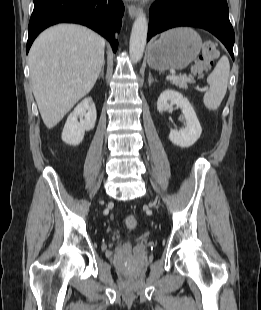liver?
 <instances>
[{
    "instance_id": "liver-1",
    "label": "liver",
    "mask_w": 261,
    "mask_h": 310,
    "mask_svg": "<svg viewBox=\"0 0 261 310\" xmlns=\"http://www.w3.org/2000/svg\"><path fill=\"white\" fill-rule=\"evenodd\" d=\"M105 40L91 29L59 24L43 31L28 56L32 91L42 120L55 127L94 87Z\"/></svg>"
}]
</instances>
